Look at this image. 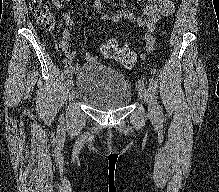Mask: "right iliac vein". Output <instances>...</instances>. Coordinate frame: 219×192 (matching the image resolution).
<instances>
[{"instance_id": "1", "label": "right iliac vein", "mask_w": 219, "mask_h": 192, "mask_svg": "<svg viewBox=\"0 0 219 192\" xmlns=\"http://www.w3.org/2000/svg\"><path fill=\"white\" fill-rule=\"evenodd\" d=\"M67 86L68 88L71 90L70 94H69V98L71 100H73L75 98V92L72 90V87H73V81L71 79L68 80L67 82Z\"/></svg>"}]
</instances>
